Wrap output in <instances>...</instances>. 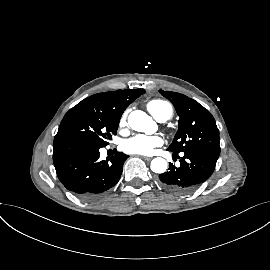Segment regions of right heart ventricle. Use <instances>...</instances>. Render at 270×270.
<instances>
[{
  "mask_svg": "<svg viewBox=\"0 0 270 270\" xmlns=\"http://www.w3.org/2000/svg\"><path fill=\"white\" fill-rule=\"evenodd\" d=\"M148 111L159 121H166L173 115L171 104L162 99H153L147 103Z\"/></svg>",
  "mask_w": 270,
  "mask_h": 270,
  "instance_id": "obj_1",
  "label": "right heart ventricle"
}]
</instances>
